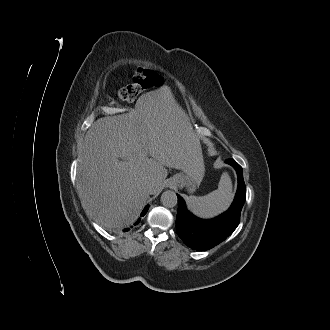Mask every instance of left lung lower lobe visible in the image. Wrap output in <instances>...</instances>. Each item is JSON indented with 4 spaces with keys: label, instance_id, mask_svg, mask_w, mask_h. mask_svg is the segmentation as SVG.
Segmentation results:
<instances>
[{
    "label": "left lung lower lobe",
    "instance_id": "0a47b994",
    "mask_svg": "<svg viewBox=\"0 0 330 330\" xmlns=\"http://www.w3.org/2000/svg\"><path fill=\"white\" fill-rule=\"evenodd\" d=\"M226 163L234 167L238 175V189L230 208L213 219H200L191 214L181 196L178 197V212L176 218V232L184 243L194 250L204 251L213 248L224 241L237 228L243 207V196L246 187L243 179L242 167L234 160Z\"/></svg>",
    "mask_w": 330,
    "mask_h": 330
}]
</instances>
